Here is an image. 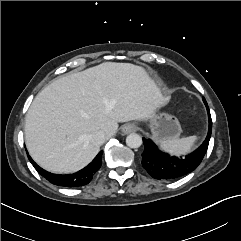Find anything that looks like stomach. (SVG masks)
<instances>
[{"mask_svg": "<svg viewBox=\"0 0 241 241\" xmlns=\"http://www.w3.org/2000/svg\"><path fill=\"white\" fill-rule=\"evenodd\" d=\"M150 128L152 138L159 143L177 139L182 132L178 119L167 113H158L150 118Z\"/></svg>", "mask_w": 241, "mask_h": 241, "instance_id": "stomach-1", "label": "stomach"}]
</instances>
